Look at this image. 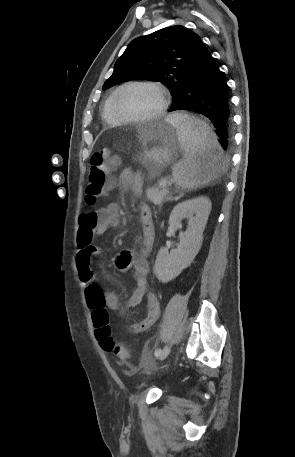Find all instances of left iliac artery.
Listing matches in <instances>:
<instances>
[{
    "mask_svg": "<svg viewBox=\"0 0 295 457\" xmlns=\"http://www.w3.org/2000/svg\"><path fill=\"white\" fill-rule=\"evenodd\" d=\"M162 350L159 348L154 352L155 356H159L161 354Z\"/></svg>",
    "mask_w": 295,
    "mask_h": 457,
    "instance_id": "1",
    "label": "left iliac artery"
}]
</instances>
